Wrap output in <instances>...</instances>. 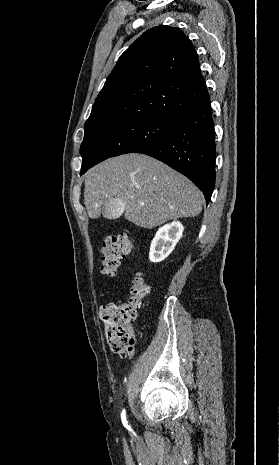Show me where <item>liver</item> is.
Instances as JSON below:
<instances>
[{
    "instance_id": "1",
    "label": "liver",
    "mask_w": 279,
    "mask_h": 465,
    "mask_svg": "<svg viewBox=\"0 0 279 465\" xmlns=\"http://www.w3.org/2000/svg\"><path fill=\"white\" fill-rule=\"evenodd\" d=\"M84 184V204L93 219L113 198L124 201L125 219L142 228L202 211V193L187 177L144 154L107 159L86 173Z\"/></svg>"
}]
</instances>
